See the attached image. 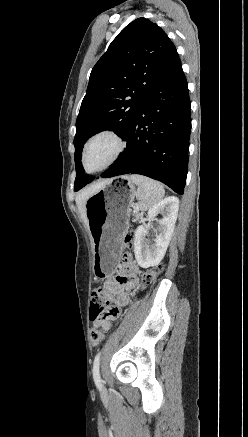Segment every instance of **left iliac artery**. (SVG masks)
<instances>
[{"label":"left iliac artery","instance_id":"obj_1","mask_svg":"<svg viewBox=\"0 0 248 437\" xmlns=\"http://www.w3.org/2000/svg\"><path fill=\"white\" fill-rule=\"evenodd\" d=\"M100 356H101V352H99L95 358H94V362H93V378H94V382L96 384V386L98 388L102 387L101 384V378H100V374H99V362H100Z\"/></svg>","mask_w":248,"mask_h":437}]
</instances>
